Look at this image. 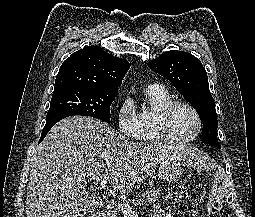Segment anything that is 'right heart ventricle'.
<instances>
[{
	"label": "right heart ventricle",
	"instance_id": "1",
	"mask_svg": "<svg viewBox=\"0 0 255 217\" xmlns=\"http://www.w3.org/2000/svg\"><path fill=\"white\" fill-rule=\"evenodd\" d=\"M147 105L142 107L137 113L138 116V134L137 139L141 141H162L165 140L157 125V116L159 110L172 97L169 91L161 85H150L145 90Z\"/></svg>",
	"mask_w": 255,
	"mask_h": 217
}]
</instances>
